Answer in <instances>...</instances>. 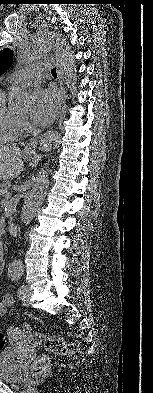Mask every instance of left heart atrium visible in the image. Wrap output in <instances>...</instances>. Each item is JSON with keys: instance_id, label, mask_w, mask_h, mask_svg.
<instances>
[{"instance_id": "obj_1", "label": "left heart atrium", "mask_w": 153, "mask_h": 393, "mask_svg": "<svg viewBox=\"0 0 153 393\" xmlns=\"http://www.w3.org/2000/svg\"><path fill=\"white\" fill-rule=\"evenodd\" d=\"M61 104V97L53 88L39 89L34 95L32 122L37 126H47L56 117Z\"/></svg>"}]
</instances>
